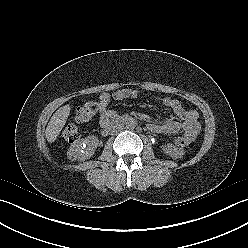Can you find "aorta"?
<instances>
[{"mask_svg":"<svg viewBox=\"0 0 248 248\" xmlns=\"http://www.w3.org/2000/svg\"><path fill=\"white\" fill-rule=\"evenodd\" d=\"M137 123L134 119H130L129 121L126 122V128L129 130H132L136 127Z\"/></svg>","mask_w":248,"mask_h":248,"instance_id":"aorta-1","label":"aorta"}]
</instances>
